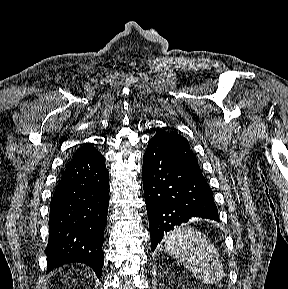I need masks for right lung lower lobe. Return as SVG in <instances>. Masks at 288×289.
<instances>
[{"instance_id": "98d812e1", "label": "right lung lower lobe", "mask_w": 288, "mask_h": 289, "mask_svg": "<svg viewBox=\"0 0 288 289\" xmlns=\"http://www.w3.org/2000/svg\"><path fill=\"white\" fill-rule=\"evenodd\" d=\"M109 173L97 151L71 160L50 203L48 271L71 262L90 266L100 278L107 222Z\"/></svg>"}]
</instances>
